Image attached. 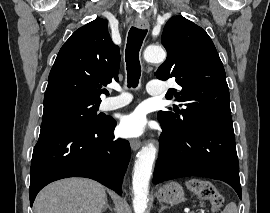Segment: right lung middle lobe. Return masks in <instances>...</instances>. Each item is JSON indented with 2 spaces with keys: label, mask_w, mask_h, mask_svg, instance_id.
Returning <instances> with one entry per match:
<instances>
[{
  "label": "right lung middle lobe",
  "mask_w": 270,
  "mask_h": 213,
  "mask_svg": "<svg viewBox=\"0 0 270 213\" xmlns=\"http://www.w3.org/2000/svg\"><path fill=\"white\" fill-rule=\"evenodd\" d=\"M99 103L65 100L44 106L42 123L67 122L81 126L98 127L105 120L98 119Z\"/></svg>",
  "instance_id": "1"
}]
</instances>
